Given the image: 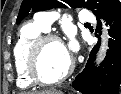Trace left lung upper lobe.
Returning a JSON list of instances; mask_svg holds the SVG:
<instances>
[{
	"instance_id": "1",
	"label": "left lung upper lobe",
	"mask_w": 121,
	"mask_h": 94,
	"mask_svg": "<svg viewBox=\"0 0 121 94\" xmlns=\"http://www.w3.org/2000/svg\"><path fill=\"white\" fill-rule=\"evenodd\" d=\"M87 5H90V10L94 12L97 18H105L113 10L121 6L119 0H88L87 3L85 0H23L17 17V23H20L30 10L36 12L57 7L67 8V6L88 8ZM95 8L97 10L94 11L93 9Z\"/></svg>"
}]
</instances>
